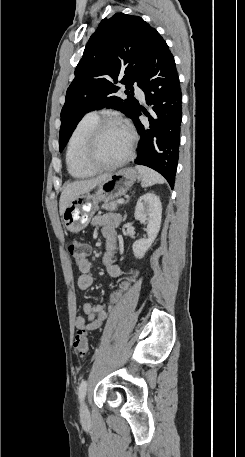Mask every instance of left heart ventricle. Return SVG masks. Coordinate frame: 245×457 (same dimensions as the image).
Here are the masks:
<instances>
[{
  "mask_svg": "<svg viewBox=\"0 0 245 457\" xmlns=\"http://www.w3.org/2000/svg\"><path fill=\"white\" fill-rule=\"evenodd\" d=\"M129 142V137L123 129L108 128L102 133L99 142L90 148L87 159L93 165L111 162L125 153Z\"/></svg>",
  "mask_w": 245,
  "mask_h": 457,
  "instance_id": "b2bd125f",
  "label": "left heart ventricle"
}]
</instances>
